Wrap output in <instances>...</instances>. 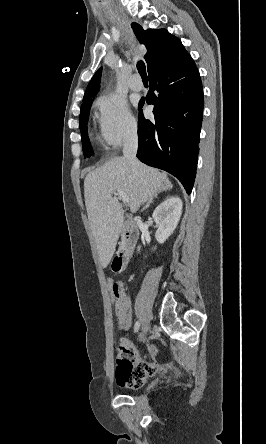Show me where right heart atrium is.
<instances>
[{
  "label": "right heart atrium",
  "instance_id": "1",
  "mask_svg": "<svg viewBox=\"0 0 266 444\" xmlns=\"http://www.w3.org/2000/svg\"><path fill=\"white\" fill-rule=\"evenodd\" d=\"M96 105L100 134L109 147L117 149L136 135L137 122L125 101L107 93L97 99Z\"/></svg>",
  "mask_w": 266,
  "mask_h": 444
}]
</instances>
